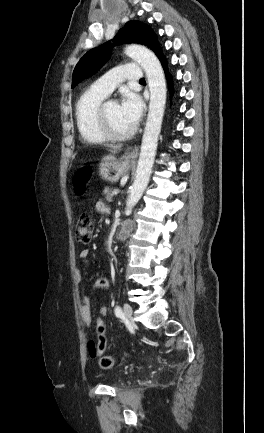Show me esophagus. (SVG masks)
Segmentation results:
<instances>
[{
  "label": "esophagus",
  "instance_id": "esophagus-1",
  "mask_svg": "<svg viewBox=\"0 0 264 433\" xmlns=\"http://www.w3.org/2000/svg\"><path fill=\"white\" fill-rule=\"evenodd\" d=\"M137 155H138V148L135 147V148L131 151V153H130V157H131V158H136Z\"/></svg>",
  "mask_w": 264,
  "mask_h": 433
}]
</instances>
